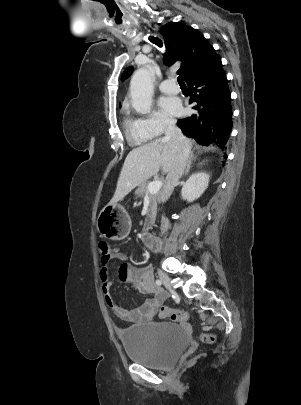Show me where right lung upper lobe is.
I'll use <instances>...</instances> for the list:
<instances>
[{
  "mask_svg": "<svg viewBox=\"0 0 301 405\" xmlns=\"http://www.w3.org/2000/svg\"><path fill=\"white\" fill-rule=\"evenodd\" d=\"M160 33L167 48L164 54L166 62L171 65L176 61H182L183 64L178 73L183 75L185 81L208 69L219 59L213 46L191 26L180 22H169L160 29ZM132 70L131 67L127 68L122 75V80H125Z\"/></svg>",
  "mask_w": 301,
  "mask_h": 405,
  "instance_id": "obj_1",
  "label": "right lung upper lobe"
}]
</instances>
